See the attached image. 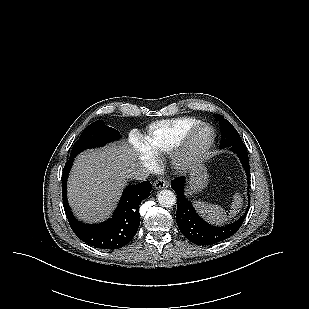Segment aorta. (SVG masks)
I'll return each instance as SVG.
<instances>
[{
	"mask_svg": "<svg viewBox=\"0 0 309 309\" xmlns=\"http://www.w3.org/2000/svg\"><path fill=\"white\" fill-rule=\"evenodd\" d=\"M158 202L163 207H172L176 203V195L167 189L161 190L157 194Z\"/></svg>",
	"mask_w": 309,
	"mask_h": 309,
	"instance_id": "obj_1",
	"label": "aorta"
}]
</instances>
